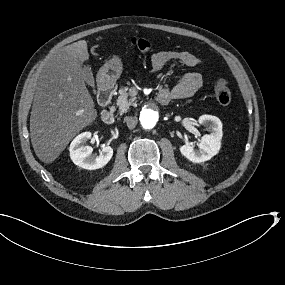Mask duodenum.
<instances>
[{"mask_svg":"<svg viewBox=\"0 0 285 285\" xmlns=\"http://www.w3.org/2000/svg\"><path fill=\"white\" fill-rule=\"evenodd\" d=\"M116 89V85L110 81H104L100 84L98 92V101L103 107L101 111V120L104 123L110 124L114 120V111L111 108V100ZM159 100L162 103H167L170 101V97L162 92L159 93Z\"/></svg>","mask_w":285,"mask_h":285,"instance_id":"410a0bca","label":"duodenum"}]
</instances>
